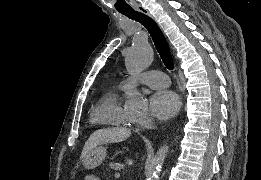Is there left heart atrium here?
<instances>
[{"label":"left heart atrium","instance_id":"39dd6f15","mask_svg":"<svg viewBox=\"0 0 261 180\" xmlns=\"http://www.w3.org/2000/svg\"><path fill=\"white\" fill-rule=\"evenodd\" d=\"M179 108V98L171 90L161 88L154 91L148 98L147 107L141 113L139 119H146L149 116L158 119H166L176 113Z\"/></svg>","mask_w":261,"mask_h":180}]
</instances>
